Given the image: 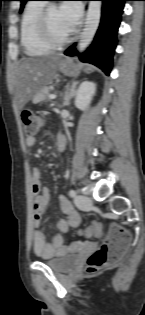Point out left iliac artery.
<instances>
[{
  "label": "left iliac artery",
  "instance_id": "1",
  "mask_svg": "<svg viewBox=\"0 0 145 315\" xmlns=\"http://www.w3.org/2000/svg\"><path fill=\"white\" fill-rule=\"evenodd\" d=\"M68 194H69L70 197H75L76 196V191L71 189V190H69Z\"/></svg>",
  "mask_w": 145,
  "mask_h": 315
}]
</instances>
